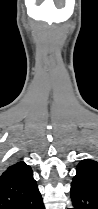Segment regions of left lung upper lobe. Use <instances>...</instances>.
Masks as SVG:
<instances>
[{
    "instance_id": "1",
    "label": "left lung upper lobe",
    "mask_w": 98,
    "mask_h": 209,
    "mask_svg": "<svg viewBox=\"0 0 98 209\" xmlns=\"http://www.w3.org/2000/svg\"><path fill=\"white\" fill-rule=\"evenodd\" d=\"M77 174L73 177V184L94 190L98 193V162L84 159L76 168Z\"/></svg>"
}]
</instances>
